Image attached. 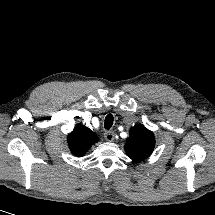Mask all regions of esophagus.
<instances>
[{
  "label": "esophagus",
  "instance_id": "obj_1",
  "mask_svg": "<svg viewBox=\"0 0 215 215\" xmlns=\"http://www.w3.org/2000/svg\"><path fill=\"white\" fill-rule=\"evenodd\" d=\"M104 137L107 141L112 142L115 138V133L113 131H107L104 133Z\"/></svg>",
  "mask_w": 215,
  "mask_h": 215
}]
</instances>
